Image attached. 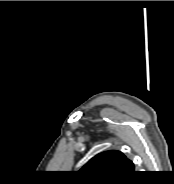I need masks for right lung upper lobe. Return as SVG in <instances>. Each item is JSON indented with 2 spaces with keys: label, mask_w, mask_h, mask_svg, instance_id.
<instances>
[{
  "label": "right lung upper lobe",
  "mask_w": 174,
  "mask_h": 184,
  "mask_svg": "<svg viewBox=\"0 0 174 184\" xmlns=\"http://www.w3.org/2000/svg\"><path fill=\"white\" fill-rule=\"evenodd\" d=\"M97 180L117 181L134 172L133 163L119 151H106L93 157L81 170Z\"/></svg>",
  "instance_id": "cb5924a9"
}]
</instances>
